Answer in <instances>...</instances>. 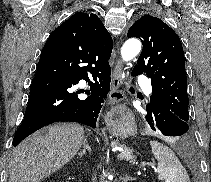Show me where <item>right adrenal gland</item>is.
<instances>
[{
    "label": "right adrenal gland",
    "mask_w": 211,
    "mask_h": 182,
    "mask_svg": "<svg viewBox=\"0 0 211 182\" xmlns=\"http://www.w3.org/2000/svg\"><path fill=\"white\" fill-rule=\"evenodd\" d=\"M86 151L91 152V147L87 144V139L83 142V149L79 151V156L82 157L83 155H86Z\"/></svg>",
    "instance_id": "2a0ac1e0"
}]
</instances>
